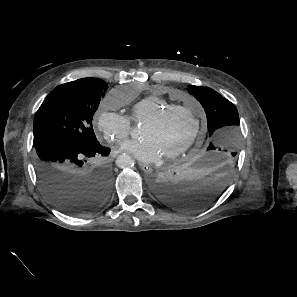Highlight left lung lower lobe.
Listing matches in <instances>:
<instances>
[{"instance_id": "1", "label": "left lung lower lobe", "mask_w": 297, "mask_h": 297, "mask_svg": "<svg viewBox=\"0 0 297 297\" xmlns=\"http://www.w3.org/2000/svg\"><path fill=\"white\" fill-rule=\"evenodd\" d=\"M235 159L218 151L191 157L153 182L157 198L181 211H198L217 200L230 183Z\"/></svg>"}]
</instances>
